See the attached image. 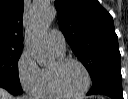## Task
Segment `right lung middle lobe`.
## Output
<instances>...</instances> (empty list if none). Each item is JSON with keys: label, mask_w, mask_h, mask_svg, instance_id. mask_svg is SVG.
Masks as SVG:
<instances>
[{"label": "right lung middle lobe", "mask_w": 128, "mask_h": 99, "mask_svg": "<svg viewBox=\"0 0 128 99\" xmlns=\"http://www.w3.org/2000/svg\"><path fill=\"white\" fill-rule=\"evenodd\" d=\"M22 48L0 46V81L21 87L18 75V59Z\"/></svg>", "instance_id": "1"}]
</instances>
